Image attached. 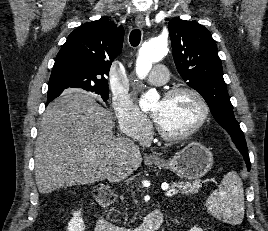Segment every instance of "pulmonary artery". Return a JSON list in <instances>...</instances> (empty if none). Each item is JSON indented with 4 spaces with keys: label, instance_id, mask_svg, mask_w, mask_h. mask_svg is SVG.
I'll list each match as a JSON object with an SVG mask.
<instances>
[{
    "label": "pulmonary artery",
    "instance_id": "e3ab8cb5",
    "mask_svg": "<svg viewBox=\"0 0 268 231\" xmlns=\"http://www.w3.org/2000/svg\"><path fill=\"white\" fill-rule=\"evenodd\" d=\"M167 80V68L164 65L157 66L154 72L148 77V81L153 84H164Z\"/></svg>",
    "mask_w": 268,
    "mask_h": 231
}]
</instances>
